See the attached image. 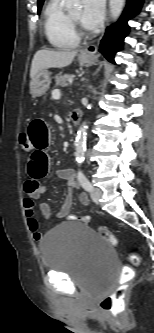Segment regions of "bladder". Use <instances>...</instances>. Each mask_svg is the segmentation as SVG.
Masks as SVG:
<instances>
[{
  "label": "bladder",
  "instance_id": "31cf9c89",
  "mask_svg": "<svg viewBox=\"0 0 154 333\" xmlns=\"http://www.w3.org/2000/svg\"><path fill=\"white\" fill-rule=\"evenodd\" d=\"M44 268L75 283L109 290L115 280L117 256L98 232L82 222H64L50 229L39 244Z\"/></svg>",
  "mask_w": 154,
  "mask_h": 333
}]
</instances>
